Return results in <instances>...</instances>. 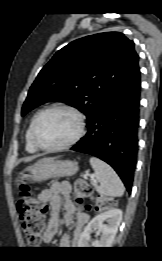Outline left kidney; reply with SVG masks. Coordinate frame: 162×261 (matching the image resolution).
Listing matches in <instances>:
<instances>
[{"mask_svg": "<svg viewBox=\"0 0 162 261\" xmlns=\"http://www.w3.org/2000/svg\"><path fill=\"white\" fill-rule=\"evenodd\" d=\"M121 220L122 210L120 209H109L98 214L84 228V231L79 237L77 246L80 248L110 247L114 241ZM104 222H107V224H104ZM94 230H97L101 234L100 240H95L90 244V234Z\"/></svg>", "mask_w": 162, "mask_h": 261, "instance_id": "left-kidney-1", "label": "left kidney"}]
</instances>
